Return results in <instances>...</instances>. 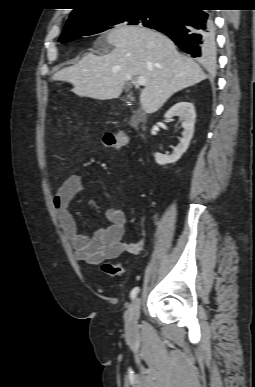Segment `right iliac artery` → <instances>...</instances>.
I'll list each match as a JSON object with an SVG mask.
<instances>
[{
    "label": "right iliac artery",
    "instance_id": "obj_1",
    "mask_svg": "<svg viewBox=\"0 0 255 387\" xmlns=\"http://www.w3.org/2000/svg\"><path fill=\"white\" fill-rule=\"evenodd\" d=\"M139 292V287H135L132 291H131V298L134 299L137 295V293Z\"/></svg>",
    "mask_w": 255,
    "mask_h": 387
}]
</instances>
